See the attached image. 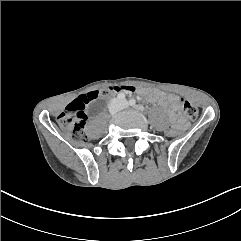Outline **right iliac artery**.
Here are the masks:
<instances>
[{
    "label": "right iliac artery",
    "instance_id": "right-iliac-artery-1",
    "mask_svg": "<svg viewBox=\"0 0 241 241\" xmlns=\"http://www.w3.org/2000/svg\"><path fill=\"white\" fill-rule=\"evenodd\" d=\"M117 98L119 100H124L125 99V95L123 93H120V94L117 95Z\"/></svg>",
    "mask_w": 241,
    "mask_h": 241
}]
</instances>
